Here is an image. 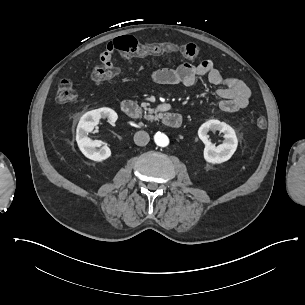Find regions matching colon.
Returning <instances> with one entry per match:
<instances>
[{"label":"colon","instance_id":"1","mask_svg":"<svg viewBox=\"0 0 305 305\" xmlns=\"http://www.w3.org/2000/svg\"><path fill=\"white\" fill-rule=\"evenodd\" d=\"M117 44V54H127L129 56H139L143 54H162L168 52H180L184 57L196 59L199 56V48L192 43L175 44L163 43L158 47L153 45L144 46L139 44V40L134 35H126L114 39ZM119 73V68L116 64L114 68H107L105 65L95 67L91 73V80L95 83L105 81L115 77ZM76 99V91L73 82L69 79H63L59 82L56 101L59 103H69ZM256 124L259 128H265L267 121L264 116H259L256 119Z\"/></svg>","mask_w":305,"mask_h":305}]
</instances>
